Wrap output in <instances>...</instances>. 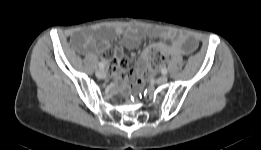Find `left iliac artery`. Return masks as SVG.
<instances>
[{"label":"left iliac artery","instance_id":"44dca946","mask_svg":"<svg viewBox=\"0 0 261 150\" xmlns=\"http://www.w3.org/2000/svg\"><path fill=\"white\" fill-rule=\"evenodd\" d=\"M161 73L164 74V75L167 74V69L166 68H162L161 69Z\"/></svg>","mask_w":261,"mask_h":150}]
</instances>
